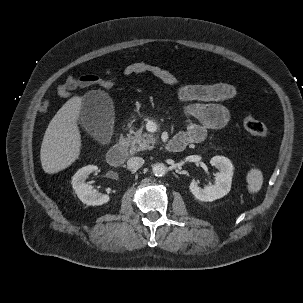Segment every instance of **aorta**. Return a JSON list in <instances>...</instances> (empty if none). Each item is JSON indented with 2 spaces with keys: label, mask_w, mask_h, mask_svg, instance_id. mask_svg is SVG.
<instances>
[{
  "label": "aorta",
  "mask_w": 303,
  "mask_h": 303,
  "mask_svg": "<svg viewBox=\"0 0 303 303\" xmlns=\"http://www.w3.org/2000/svg\"><path fill=\"white\" fill-rule=\"evenodd\" d=\"M153 174L157 177H162L167 173V167L163 163H156L152 167Z\"/></svg>",
  "instance_id": "1"
}]
</instances>
